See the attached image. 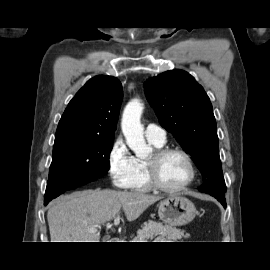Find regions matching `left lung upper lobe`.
<instances>
[{"instance_id":"left-lung-upper-lobe-1","label":"left lung upper lobe","mask_w":270,"mask_h":270,"mask_svg":"<svg viewBox=\"0 0 270 270\" xmlns=\"http://www.w3.org/2000/svg\"><path fill=\"white\" fill-rule=\"evenodd\" d=\"M144 87L159 123L192 155L203 177L222 176L216 121L203 87L179 69L148 79Z\"/></svg>"}]
</instances>
